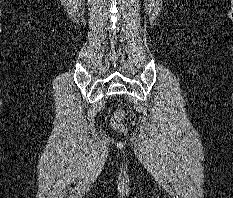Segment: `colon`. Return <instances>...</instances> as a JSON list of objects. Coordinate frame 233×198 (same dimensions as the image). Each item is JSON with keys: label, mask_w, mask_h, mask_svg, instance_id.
Masks as SVG:
<instances>
[{"label": "colon", "mask_w": 233, "mask_h": 198, "mask_svg": "<svg viewBox=\"0 0 233 198\" xmlns=\"http://www.w3.org/2000/svg\"><path fill=\"white\" fill-rule=\"evenodd\" d=\"M125 111L123 109L116 110L111 117V124L113 128L119 132H126L127 127L124 124Z\"/></svg>", "instance_id": "1"}]
</instances>
